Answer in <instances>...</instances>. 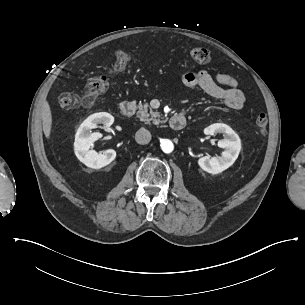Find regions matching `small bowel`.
<instances>
[{
  "label": "small bowel",
  "mask_w": 305,
  "mask_h": 305,
  "mask_svg": "<svg viewBox=\"0 0 305 305\" xmlns=\"http://www.w3.org/2000/svg\"><path fill=\"white\" fill-rule=\"evenodd\" d=\"M180 80L187 87H200L210 96L222 101L228 108L239 110L245 97L235 78L227 74L212 77L206 70L188 72L180 75Z\"/></svg>",
  "instance_id": "c3829d8e"
}]
</instances>
